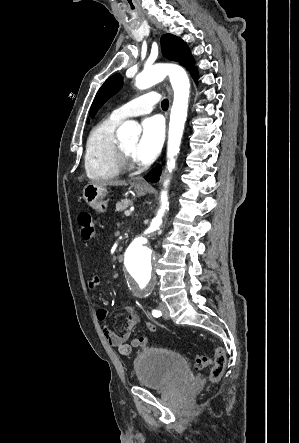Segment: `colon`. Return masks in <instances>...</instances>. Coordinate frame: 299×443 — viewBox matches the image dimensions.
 <instances>
[{"instance_id": "obj_1", "label": "colon", "mask_w": 299, "mask_h": 443, "mask_svg": "<svg viewBox=\"0 0 299 443\" xmlns=\"http://www.w3.org/2000/svg\"><path fill=\"white\" fill-rule=\"evenodd\" d=\"M78 223L80 225L81 235L83 239L90 240L95 236V223L92 215L87 211H82L78 215ZM210 364H213L210 371V379L212 382L219 381L225 370L226 355L221 347L214 350L213 358L205 354H198L195 358V366L197 369H202Z\"/></svg>"}]
</instances>
